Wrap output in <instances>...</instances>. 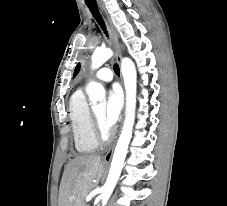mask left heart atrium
<instances>
[{"instance_id": "1", "label": "left heart atrium", "mask_w": 227, "mask_h": 206, "mask_svg": "<svg viewBox=\"0 0 227 206\" xmlns=\"http://www.w3.org/2000/svg\"><path fill=\"white\" fill-rule=\"evenodd\" d=\"M123 106V95L118 87H113L107 97L103 115V124L110 130L118 121Z\"/></svg>"}]
</instances>
